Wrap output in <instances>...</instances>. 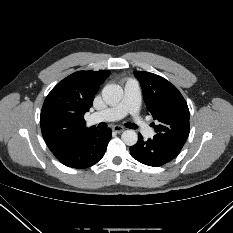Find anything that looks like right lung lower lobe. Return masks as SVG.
Wrapping results in <instances>:
<instances>
[{"label":"right lung lower lobe","mask_w":233,"mask_h":233,"mask_svg":"<svg viewBox=\"0 0 233 233\" xmlns=\"http://www.w3.org/2000/svg\"><path fill=\"white\" fill-rule=\"evenodd\" d=\"M111 129H93L76 139L72 144L55 153L64 165L77 169L88 168L104 156L111 139Z\"/></svg>","instance_id":"1"}]
</instances>
